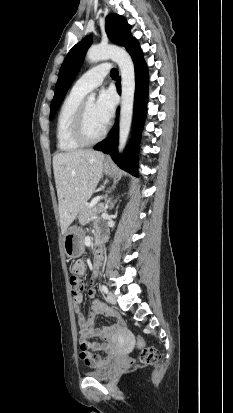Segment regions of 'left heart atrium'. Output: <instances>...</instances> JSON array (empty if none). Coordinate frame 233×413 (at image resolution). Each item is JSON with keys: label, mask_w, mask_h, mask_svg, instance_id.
Returning <instances> with one entry per match:
<instances>
[{"label": "left heart atrium", "mask_w": 233, "mask_h": 413, "mask_svg": "<svg viewBox=\"0 0 233 413\" xmlns=\"http://www.w3.org/2000/svg\"><path fill=\"white\" fill-rule=\"evenodd\" d=\"M116 100L111 90H102L95 103L96 112L103 124H107L115 112Z\"/></svg>", "instance_id": "obj_1"}]
</instances>
